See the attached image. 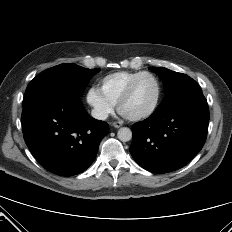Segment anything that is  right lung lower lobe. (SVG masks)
Returning <instances> with one entry per match:
<instances>
[{"instance_id": "1", "label": "right lung lower lobe", "mask_w": 232, "mask_h": 232, "mask_svg": "<svg viewBox=\"0 0 232 232\" xmlns=\"http://www.w3.org/2000/svg\"><path fill=\"white\" fill-rule=\"evenodd\" d=\"M23 107L24 140L45 169L72 176L92 164L109 126L89 116L80 97L44 95L23 103Z\"/></svg>"}]
</instances>
